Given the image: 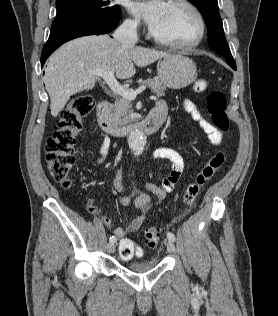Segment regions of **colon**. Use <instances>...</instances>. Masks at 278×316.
Masks as SVG:
<instances>
[{"instance_id":"5ec220e1","label":"colon","mask_w":278,"mask_h":316,"mask_svg":"<svg viewBox=\"0 0 278 316\" xmlns=\"http://www.w3.org/2000/svg\"><path fill=\"white\" fill-rule=\"evenodd\" d=\"M206 88L207 82L202 79L195 81L193 85V89L197 93L205 91ZM93 108V99L88 95H82L72 100L61 112L56 130L46 140L47 169L52 178L63 188L71 186L70 172L75 163L74 152L77 136L82 131V119L89 115ZM207 109L214 127L221 132L228 131L230 123L226 114V97L223 92L214 91L208 96ZM224 162V152L217 151L195 175L183 195V204L186 208L193 206L202 187ZM159 238L160 232L157 228L152 227L146 230L145 239L150 248L158 245ZM119 252L125 259L143 255L142 249L130 239L120 241Z\"/></svg>"}]
</instances>
